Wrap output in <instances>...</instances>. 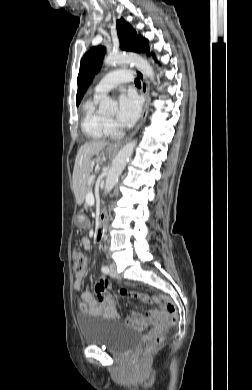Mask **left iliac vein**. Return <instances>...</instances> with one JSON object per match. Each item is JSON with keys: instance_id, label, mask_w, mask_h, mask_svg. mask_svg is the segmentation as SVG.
Listing matches in <instances>:
<instances>
[{"instance_id": "left-iliac-vein-1", "label": "left iliac vein", "mask_w": 252, "mask_h": 390, "mask_svg": "<svg viewBox=\"0 0 252 390\" xmlns=\"http://www.w3.org/2000/svg\"><path fill=\"white\" fill-rule=\"evenodd\" d=\"M109 274L113 278H118L119 277L118 272L116 270V265L115 264L110 265Z\"/></svg>"}]
</instances>
